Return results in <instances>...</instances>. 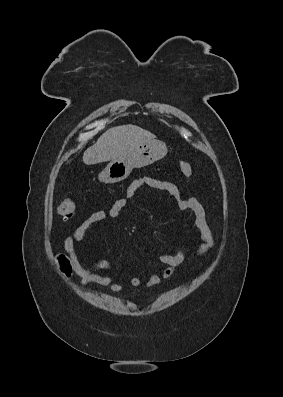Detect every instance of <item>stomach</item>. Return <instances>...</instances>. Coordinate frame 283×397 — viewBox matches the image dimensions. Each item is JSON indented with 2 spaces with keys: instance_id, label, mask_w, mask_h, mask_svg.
<instances>
[{
  "instance_id": "obj_1",
  "label": "stomach",
  "mask_w": 283,
  "mask_h": 397,
  "mask_svg": "<svg viewBox=\"0 0 283 397\" xmlns=\"http://www.w3.org/2000/svg\"><path fill=\"white\" fill-rule=\"evenodd\" d=\"M167 151L165 143L161 141L141 144L125 158L111 160L99 174V179L104 183L122 181L129 176L133 168H141L161 160Z\"/></svg>"
}]
</instances>
